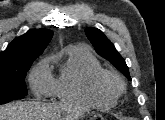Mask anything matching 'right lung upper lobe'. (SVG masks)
Masks as SVG:
<instances>
[{"label": "right lung upper lobe", "instance_id": "cb5924a9", "mask_svg": "<svg viewBox=\"0 0 165 120\" xmlns=\"http://www.w3.org/2000/svg\"><path fill=\"white\" fill-rule=\"evenodd\" d=\"M53 36L49 29H31L24 35L15 38L3 52H0V63L18 62L39 57Z\"/></svg>", "mask_w": 165, "mask_h": 120}]
</instances>
